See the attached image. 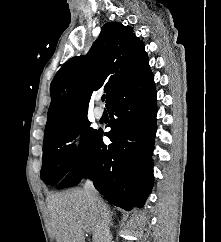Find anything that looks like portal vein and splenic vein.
I'll use <instances>...</instances> for the list:
<instances>
[{
	"instance_id": "1",
	"label": "portal vein and splenic vein",
	"mask_w": 221,
	"mask_h": 242,
	"mask_svg": "<svg viewBox=\"0 0 221 242\" xmlns=\"http://www.w3.org/2000/svg\"><path fill=\"white\" fill-rule=\"evenodd\" d=\"M84 230H85V231H87V229H86V228H84ZM87 232H88V231H87Z\"/></svg>"
}]
</instances>
